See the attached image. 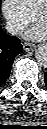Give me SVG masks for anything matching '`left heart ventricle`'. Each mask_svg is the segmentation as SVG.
<instances>
[{
	"label": "left heart ventricle",
	"mask_w": 47,
	"mask_h": 129,
	"mask_svg": "<svg viewBox=\"0 0 47 129\" xmlns=\"http://www.w3.org/2000/svg\"><path fill=\"white\" fill-rule=\"evenodd\" d=\"M37 21L43 25H46V16L44 14L41 15Z\"/></svg>",
	"instance_id": "left-heart-ventricle-1"
}]
</instances>
